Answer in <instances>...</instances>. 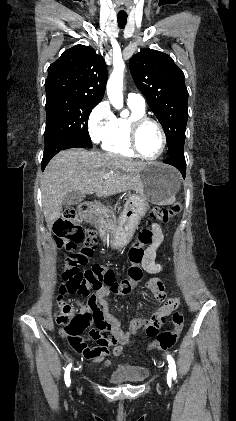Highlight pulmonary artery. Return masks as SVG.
Returning a JSON list of instances; mask_svg holds the SVG:
<instances>
[{"label":"pulmonary artery","mask_w":236,"mask_h":421,"mask_svg":"<svg viewBox=\"0 0 236 421\" xmlns=\"http://www.w3.org/2000/svg\"><path fill=\"white\" fill-rule=\"evenodd\" d=\"M127 102L130 104L137 105L139 107L145 108V100L140 95L129 94L127 98Z\"/></svg>","instance_id":"1"}]
</instances>
